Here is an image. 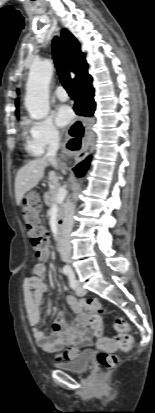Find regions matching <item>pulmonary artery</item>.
<instances>
[{"label": "pulmonary artery", "mask_w": 155, "mask_h": 413, "mask_svg": "<svg viewBox=\"0 0 155 413\" xmlns=\"http://www.w3.org/2000/svg\"><path fill=\"white\" fill-rule=\"evenodd\" d=\"M55 95L61 101H66L68 99V93L66 92V90L62 86H59L55 90Z\"/></svg>", "instance_id": "e3ab8cb5"}]
</instances>
